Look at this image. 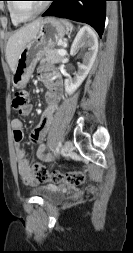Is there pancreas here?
Here are the masks:
<instances>
[{
	"label": "pancreas",
	"mask_w": 133,
	"mask_h": 253,
	"mask_svg": "<svg viewBox=\"0 0 133 253\" xmlns=\"http://www.w3.org/2000/svg\"><path fill=\"white\" fill-rule=\"evenodd\" d=\"M63 58L64 56L58 54V50L49 49L44 52L43 57L41 59V63L44 62L59 63L62 61Z\"/></svg>",
	"instance_id": "cf45deb5"
}]
</instances>
